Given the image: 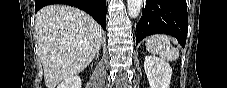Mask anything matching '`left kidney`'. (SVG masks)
<instances>
[{
    "mask_svg": "<svg viewBox=\"0 0 227 88\" xmlns=\"http://www.w3.org/2000/svg\"><path fill=\"white\" fill-rule=\"evenodd\" d=\"M144 69L151 88H169L172 68L165 60L146 56Z\"/></svg>",
    "mask_w": 227,
    "mask_h": 88,
    "instance_id": "obj_1",
    "label": "left kidney"
}]
</instances>
